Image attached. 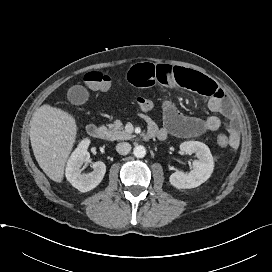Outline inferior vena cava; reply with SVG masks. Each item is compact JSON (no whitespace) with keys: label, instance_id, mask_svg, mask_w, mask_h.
Segmentation results:
<instances>
[{"label":"inferior vena cava","instance_id":"inferior-vena-cava-1","mask_svg":"<svg viewBox=\"0 0 272 272\" xmlns=\"http://www.w3.org/2000/svg\"><path fill=\"white\" fill-rule=\"evenodd\" d=\"M131 145L127 142H121L116 145V151L122 155H126L130 152Z\"/></svg>","mask_w":272,"mask_h":272}]
</instances>
